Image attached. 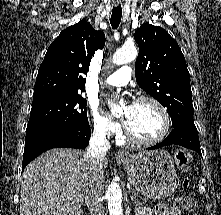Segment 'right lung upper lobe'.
I'll use <instances>...</instances> for the list:
<instances>
[{
    "label": "right lung upper lobe",
    "mask_w": 221,
    "mask_h": 215,
    "mask_svg": "<svg viewBox=\"0 0 221 215\" xmlns=\"http://www.w3.org/2000/svg\"><path fill=\"white\" fill-rule=\"evenodd\" d=\"M105 44V35L86 21L63 30L51 43L39 67L33 101L84 91L92 56Z\"/></svg>",
    "instance_id": "cb5924a9"
}]
</instances>
